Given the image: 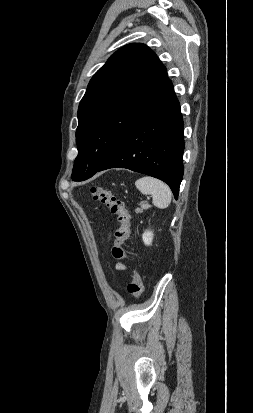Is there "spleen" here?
Segmentation results:
<instances>
[{
	"instance_id": "1",
	"label": "spleen",
	"mask_w": 253,
	"mask_h": 413,
	"mask_svg": "<svg viewBox=\"0 0 253 413\" xmlns=\"http://www.w3.org/2000/svg\"><path fill=\"white\" fill-rule=\"evenodd\" d=\"M135 185L142 194H150L152 196L153 204L157 208L165 209L171 203V190L161 180L145 176L136 180Z\"/></svg>"
}]
</instances>
